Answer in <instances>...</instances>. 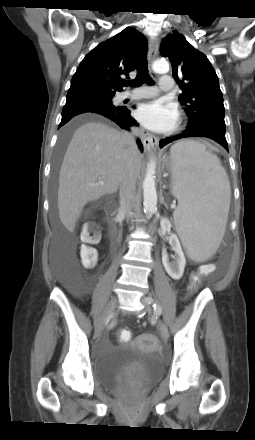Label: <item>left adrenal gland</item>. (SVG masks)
Listing matches in <instances>:
<instances>
[{
	"label": "left adrenal gland",
	"instance_id": "1",
	"mask_svg": "<svg viewBox=\"0 0 255 440\" xmlns=\"http://www.w3.org/2000/svg\"><path fill=\"white\" fill-rule=\"evenodd\" d=\"M163 204L166 206L165 202L163 201Z\"/></svg>",
	"mask_w": 255,
	"mask_h": 440
}]
</instances>
